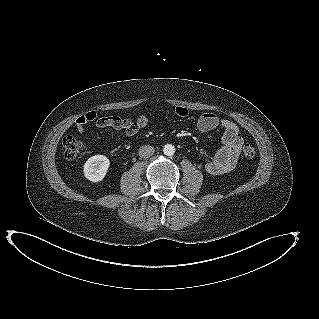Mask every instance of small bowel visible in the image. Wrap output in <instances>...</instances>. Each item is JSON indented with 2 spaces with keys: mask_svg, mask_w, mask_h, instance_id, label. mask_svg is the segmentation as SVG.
<instances>
[{
  "mask_svg": "<svg viewBox=\"0 0 319 319\" xmlns=\"http://www.w3.org/2000/svg\"><path fill=\"white\" fill-rule=\"evenodd\" d=\"M172 110L178 117L188 115V109L183 106H173ZM147 123L148 116L145 111H140L135 120L124 119L119 116H106L95 120L96 126L122 130L127 137L135 135ZM76 126L80 133L85 131V124L77 123ZM219 126L222 128L221 146L205 160V169L211 174L230 171L236 165L243 145V138L239 129L232 121L220 119L214 113H205L199 117L197 122L198 129L203 133L211 132Z\"/></svg>",
  "mask_w": 319,
  "mask_h": 319,
  "instance_id": "1",
  "label": "small bowel"
}]
</instances>
